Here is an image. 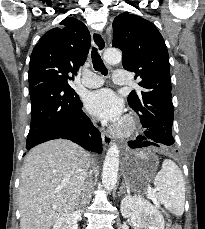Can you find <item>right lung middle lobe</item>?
Returning a JSON list of instances; mask_svg holds the SVG:
<instances>
[{"instance_id":"obj_1","label":"right lung middle lobe","mask_w":205,"mask_h":229,"mask_svg":"<svg viewBox=\"0 0 205 229\" xmlns=\"http://www.w3.org/2000/svg\"><path fill=\"white\" fill-rule=\"evenodd\" d=\"M71 78H68L66 76H57L53 79V81H56L58 83L64 84L66 86H70L71 85Z\"/></svg>"}]
</instances>
